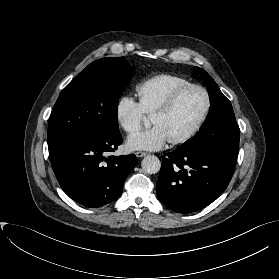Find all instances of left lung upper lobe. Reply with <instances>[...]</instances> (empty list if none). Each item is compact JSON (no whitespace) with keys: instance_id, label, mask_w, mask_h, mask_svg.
I'll return each instance as SVG.
<instances>
[{"instance_id":"obj_1","label":"left lung upper lobe","mask_w":279,"mask_h":279,"mask_svg":"<svg viewBox=\"0 0 279 279\" xmlns=\"http://www.w3.org/2000/svg\"><path fill=\"white\" fill-rule=\"evenodd\" d=\"M199 70L206 79L210 112L200 131L177 150L189 155L213 152L236 160L239 153L240 130L232 105L211 76L204 69Z\"/></svg>"}]
</instances>
